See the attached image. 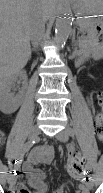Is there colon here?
Returning <instances> with one entry per match:
<instances>
[{
  "mask_svg": "<svg viewBox=\"0 0 103 193\" xmlns=\"http://www.w3.org/2000/svg\"><path fill=\"white\" fill-rule=\"evenodd\" d=\"M98 103L100 106L103 105V93L98 92L96 94ZM95 128H96V134L100 140H103V120H102V113L99 111V113L96 116L95 120ZM68 169L73 174L83 175L85 174V165L83 158L79 153H74L68 164ZM24 193H28L27 189H24Z\"/></svg>",
  "mask_w": 103,
  "mask_h": 193,
  "instance_id": "1",
  "label": "colon"
}]
</instances>
